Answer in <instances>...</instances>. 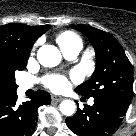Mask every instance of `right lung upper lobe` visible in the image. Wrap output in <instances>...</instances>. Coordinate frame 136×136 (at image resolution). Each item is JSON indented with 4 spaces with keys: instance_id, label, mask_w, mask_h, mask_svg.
<instances>
[{
    "instance_id": "right-lung-upper-lobe-1",
    "label": "right lung upper lobe",
    "mask_w": 136,
    "mask_h": 136,
    "mask_svg": "<svg viewBox=\"0 0 136 136\" xmlns=\"http://www.w3.org/2000/svg\"><path fill=\"white\" fill-rule=\"evenodd\" d=\"M50 25L28 26L10 23L0 26V52H13L17 56H29L36 39L45 33Z\"/></svg>"
}]
</instances>
